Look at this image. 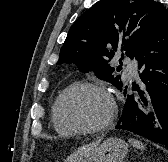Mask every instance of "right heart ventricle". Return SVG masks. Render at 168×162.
Listing matches in <instances>:
<instances>
[{"instance_id":"obj_1","label":"right heart ventricle","mask_w":168,"mask_h":162,"mask_svg":"<svg viewBox=\"0 0 168 162\" xmlns=\"http://www.w3.org/2000/svg\"><path fill=\"white\" fill-rule=\"evenodd\" d=\"M65 89H62L56 96V98L54 99L52 106H51V121L53 124V127L55 129V131L61 135V136H70L73 135L76 131L68 128L66 125H64L57 114V102L59 99V96L61 95V93L64 91Z\"/></svg>"}]
</instances>
